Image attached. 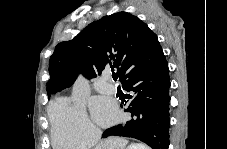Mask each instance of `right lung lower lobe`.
Here are the masks:
<instances>
[{"instance_id": "right-lung-lower-lobe-1", "label": "right lung lower lobe", "mask_w": 227, "mask_h": 149, "mask_svg": "<svg viewBox=\"0 0 227 149\" xmlns=\"http://www.w3.org/2000/svg\"><path fill=\"white\" fill-rule=\"evenodd\" d=\"M122 87L126 91H133V95L128 97L132 100L125 110L131 113V118L105 130L102 137H132L153 149H168L170 78L166 58L133 73L123 81Z\"/></svg>"}]
</instances>
